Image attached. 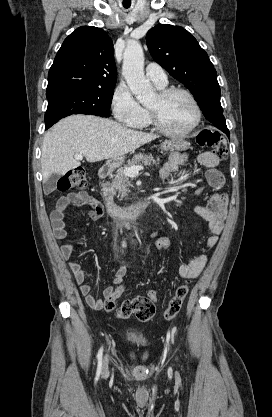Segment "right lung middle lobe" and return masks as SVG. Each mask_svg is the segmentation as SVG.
Listing matches in <instances>:
<instances>
[{
    "label": "right lung middle lobe",
    "instance_id": "obj_1",
    "mask_svg": "<svg viewBox=\"0 0 272 417\" xmlns=\"http://www.w3.org/2000/svg\"><path fill=\"white\" fill-rule=\"evenodd\" d=\"M115 86L109 88L57 89L46 92L48 107L46 128L72 114L110 116V104Z\"/></svg>",
    "mask_w": 272,
    "mask_h": 417
}]
</instances>
